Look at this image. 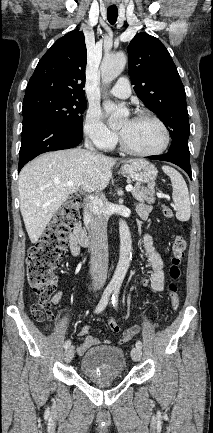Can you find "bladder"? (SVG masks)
<instances>
[{"mask_svg": "<svg viewBox=\"0 0 213 433\" xmlns=\"http://www.w3.org/2000/svg\"><path fill=\"white\" fill-rule=\"evenodd\" d=\"M126 369L123 349L115 346H97L89 349L80 360V371L91 379L119 377Z\"/></svg>", "mask_w": 213, "mask_h": 433, "instance_id": "1", "label": "bladder"}]
</instances>
